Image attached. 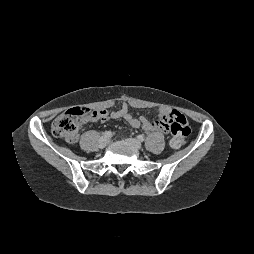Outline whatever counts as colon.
<instances>
[{
  "label": "colon",
  "instance_id": "obj_1",
  "mask_svg": "<svg viewBox=\"0 0 254 254\" xmlns=\"http://www.w3.org/2000/svg\"><path fill=\"white\" fill-rule=\"evenodd\" d=\"M99 117V111L84 107L72 108L55 118L52 123V133L67 142H74L78 137L79 128L82 123ZM172 138L170 144L173 148L181 147L188 135L190 127L183 115L176 112L170 121Z\"/></svg>",
  "mask_w": 254,
  "mask_h": 254
}]
</instances>
